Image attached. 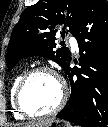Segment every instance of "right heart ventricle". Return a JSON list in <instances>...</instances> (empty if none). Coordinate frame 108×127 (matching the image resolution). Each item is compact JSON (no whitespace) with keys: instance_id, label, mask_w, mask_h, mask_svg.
<instances>
[{"instance_id":"right-heart-ventricle-1","label":"right heart ventricle","mask_w":108,"mask_h":127,"mask_svg":"<svg viewBox=\"0 0 108 127\" xmlns=\"http://www.w3.org/2000/svg\"><path fill=\"white\" fill-rule=\"evenodd\" d=\"M24 73H25L24 71H20L14 76L12 83H11V87H10V93H9L10 94V103L13 108L14 115L20 119L23 118L24 116L17 110V108L15 106L14 97H15V91H16L17 85Z\"/></svg>"}]
</instances>
